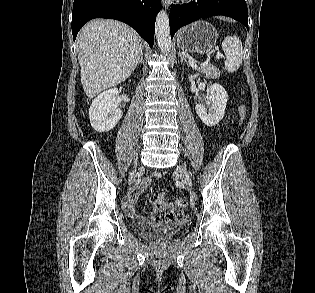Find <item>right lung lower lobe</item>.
Masks as SVG:
<instances>
[{"mask_svg": "<svg viewBox=\"0 0 315 293\" xmlns=\"http://www.w3.org/2000/svg\"><path fill=\"white\" fill-rule=\"evenodd\" d=\"M160 7V0H74L73 39L86 22L101 17L127 23L152 47L155 19Z\"/></svg>", "mask_w": 315, "mask_h": 293, "instance_id": "obj_1", "label": "right lung lower lobe"}]
</instances>
